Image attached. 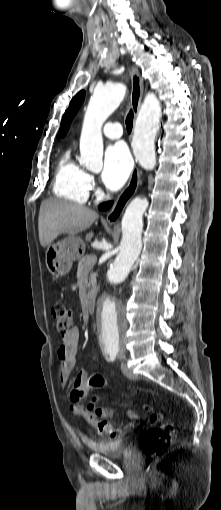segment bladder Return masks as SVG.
Here are the masks:
<instances>
[{
    "label": "bladder",
    "instance_id": "31cf9c89",
    "mask_svg": "<svg viewBox=\"0 0 221 510\" xmlns=\"http://www.w3.org/2000/svg\"><path fill=\"white\" fill-rule=\"evenodd\" d=\"M135 436L126 435L117 441H97L89 445L93 452L105 455L109 458H119L130 453L134 447Z\"/></svg>",
    "mask_w": 221,
    "mask_h": 510
}]
</instances>
